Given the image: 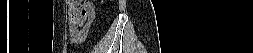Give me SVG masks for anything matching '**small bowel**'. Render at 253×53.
Instances as JSON below:
<instances>
[{
  "mask_svg": "<svg viewBox=\"0 0 253 53\" xmlns=\"http://www.w3.org/2000/svg\"><path fill=\"white\" fill-rule=\"evenodd\" d=\"M87 5L91 9V15L89 17L90 25L84 26L83 28H80V29L74 28V27H69L68 32H69L70 40L72 43L80 44L86 39V37L89 34L91 24L93 23V21L95 19L94 7H93L92 3L89 2V3H87Z\"/></svg>",
  "mask_w": 253,
  "mask_h": 53,
  "instance_id": "small-bowel-1",
  "label": "small bowel"
}]
</instances>
